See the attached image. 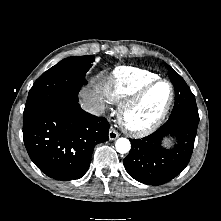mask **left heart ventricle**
Masks as SVG:
<instances>
[{
  "label": "left heart ventricle",
  "mask_w": 221,
  "mask_h": 221,
  "mask_svg": "<svg viewBox=\"0 0 221 221\" xmlns=\"http://www.w3.org/2000/svg\"><path fill=\"white\" fill-rule=\"evenodd\" d=\"M170 94L167 83L158 84L148 95L146 102L135 113L134 120L138 123H148L160 112Z\"/></svg>",
  "instance_id": "b2bd125f"
}]
</instances>
